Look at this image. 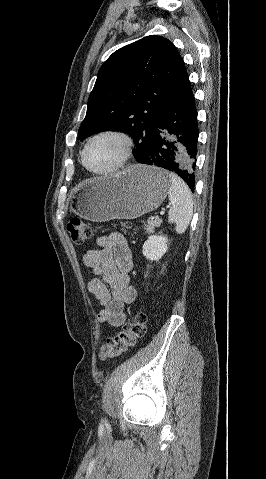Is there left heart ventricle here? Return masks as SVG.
Masks as SVG:
<instances>
[{"label":"left heart ventricle","mask_w":266,"mask_h":479,"mask_svg":"<svg viewBox=\"0 0 266 479\" xmlns=\"http://www.w3.org/2000/svg\"><path fill=\"white\" fill-rule=\"evenodd\" d=\"M121 150L122 144L116 138L98 139L88 149L87 162L95 170H107L116 164Z\"/></svg>","instance_id":"b2bd125f"}]
</instances>
